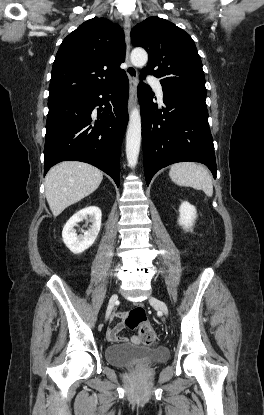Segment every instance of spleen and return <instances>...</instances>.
I'll return each instance as SVG.
<instances>
[{
	"label": "spleen",
	"instance_id": "3e777b00",
	"mask_svg": "<svg viewBox=\"0 0 264 415\" xmlns=\"http://www.w3.org/2000/svg\"><path fill=\"white\" fill-rule=\"evenodd\" d=\"M169 176L179 186L203 190L207 196L213 195L212 178L208 170L197 163L182 162L170 167Z\"/></svg>",
	"mask_w": 264,
	"mask_h": 415
}]
</instances>
